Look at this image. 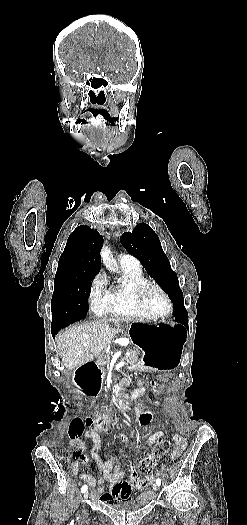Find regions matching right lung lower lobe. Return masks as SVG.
<instances>
[{"instance_id":"98d812e1","label":"right lung lower lobe","mask_w":247,"mask_h":525,"mask_svg":"<svg viewBox=\"0 0 247 525\" xmlns=\"http://www.w3.org/2000/svg\"><path fill=\"white\" fill-rule=\"evenodd\" d=\"M63 327L65 326H62V325L52 326L51 327L52 336L54 337L57 334V332Z\"/></svg>"}]
</instances>
